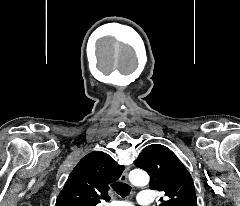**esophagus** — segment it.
Returning a JSON list of instances; mask_svg holds the SVG:
<instances>
[{"instance_id": "obj_1", "label": "esophagus", "mask_w": 240, "mask_h": 206, "mask_svg": "<svg viewBox=\"0 0 240 206\" xmlns=\"http://www.w3.org/2000/svg\"><path fill=\"white\" fill-rule=\"evenodd\" d=\"M121 182L126 183L128 181V169H125L120 177Z\"/></svg>"}]
</instances>
